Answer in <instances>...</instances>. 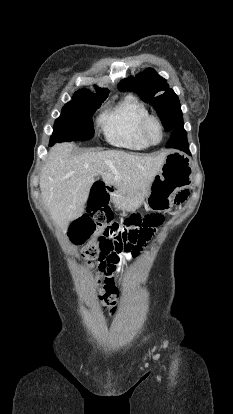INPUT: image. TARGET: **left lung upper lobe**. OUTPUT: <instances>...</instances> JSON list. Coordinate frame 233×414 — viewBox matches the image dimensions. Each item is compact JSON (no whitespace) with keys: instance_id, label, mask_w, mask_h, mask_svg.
<instances>
[{"instance_id":"left-lung-upper-lobe-1","label":"left lung upper lobe","mask_w":233,"mask_h":414,"mask_svg":"<svg viewBox=\"0 0 233 414\" xmlns=\"http://www.w3.org/2000/svg\"><path fill=\"white\" fill-rule=\"evenodd\" d=\"M118 88L121 91H133L144 102L151 103L166 131H170L183 121L178 96L155 70L148 68L135 78L124 79Z\"/></svg>"}]
</instances>
